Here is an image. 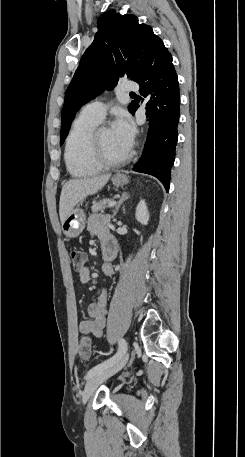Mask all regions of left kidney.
<instances>
[{
  "instance_id": "left-kidney-1",
  "label": "left kidney",
  "mask_w": 245,
  "mask_h": 457,
  "mask_svg": "<svg viewBox=\"0 0 245 457\" xmlns=\"http://www.w3.org/2000/svg\"><path fill=\"white\" fill-rule=\"evenodd\" d=\"M136 218L139 222H141V224H148L150 216L145 200H140V202H138L136 208Z\"/></svg>"
}]
</instances>
